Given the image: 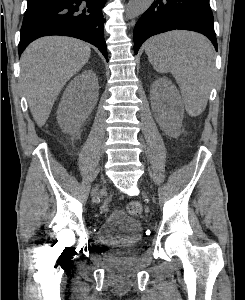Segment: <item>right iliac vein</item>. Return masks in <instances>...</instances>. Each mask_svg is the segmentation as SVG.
Wrapping results in <instances>:
<instances>
[{
	"mask_svg": "<svg viewBox=\"0 0 245 300\" xmlns=\"http://www.w3.org/2000/svg\"><path fill=\"white\" fill-rule=\"evenodd\" d=\"M97 193V190L95 189L94 191H93V194H96Z\"/></svg>",
	"mask_w": 245,
	"mask_h": 300,
	"instance_id": "right-iliac-vein-1",
	"label": "right iliac vein"
}]
</instances>
